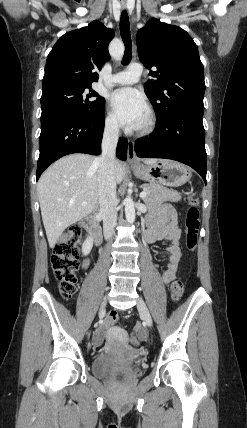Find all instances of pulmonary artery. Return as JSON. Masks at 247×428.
Here are the masks:
<instances>
[{
	"instance_id": "e3ab8cb5",
	"label": "pulmonary artery",
	"mask_w": 247,
	"mask_h": 428,
	"mask_svg": "<svg viewBox=\"0 0 247 428\" xmlns=\"http://www.w3.org/2000/svg\"><path fill=\"white\" fill-rule=\"evenodd\" d=\"M142 66L138 63H133L124 71L116 73L111 82L116 85H129L137 82L142 75Z\"/></svg>"
}]
</instances>
